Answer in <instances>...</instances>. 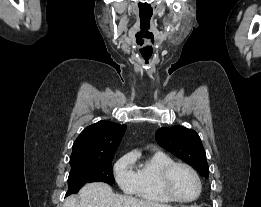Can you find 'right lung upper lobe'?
<instances>
[{"instance_id": "cb5924a9", "label": "right lung upper lobe", "mask_w": 261, "mask_h": 207, "mask_svg": "<svg viewBox=\"0 0 261 207\" xmlns=\"http://www.w3.org/2000/svg\"><path fill=\"white\" fill-rule=\"evenodd\" d=\"M125 130V124L110 121L88 126L73 144L70 164L114 157Z\"/></svg>"}]
</instances>
